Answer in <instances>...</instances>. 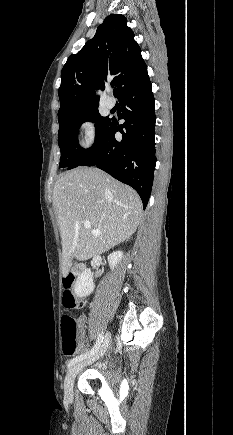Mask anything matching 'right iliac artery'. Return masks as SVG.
Wrapping results in <instances>:
<instances>
[{
    "label": "right iliac artery",
    "instance_id": "right-iliac-artery-1",
    "mask_svg": "<svg viewBox=\"0 0 233 435\" xmlns=\"http://www.w3.org/2000/svg\"><path fill=\"white\" fill-rule=\"evenodd\" d=\"M103 336H104V335H103V332L100 333V334H99V337H98V339H97V341H96V343H95V345H94V347H93L91 350H89V351H87V352H85V353H83V354H81V355H79V356H76V357H74L73 359H71V360L69 361L67 367L70 368V367L73 366L75 363L80 362V361H82L83 359H86L87 357L93 356V355L98 351V349L100 348V345H101V343L103 342V338H104Z\"/></svg>",
    "mask_w": 233,
    "mask_h": 435
}]
</instances>
